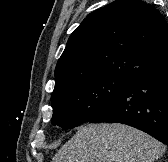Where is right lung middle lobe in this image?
Returning <instances> with one entry per match:
<instances>
[{"instance_id": "right-lung-middle-lobe-1", "label": "right lung middle lobe", "mask_w": 168, "mask_h": 162, "mask_svg": "<svg viewBox=\"0 0 168 162\" xmlns=\"http://www.w3.org/2000/svg\"><path fill=\"white\" fill-rule=\"evenodd\" d=\"M132 80L104 75L75 83L52 93V125L70 129L92 120Z\"/></svg>"}]
</instances>
